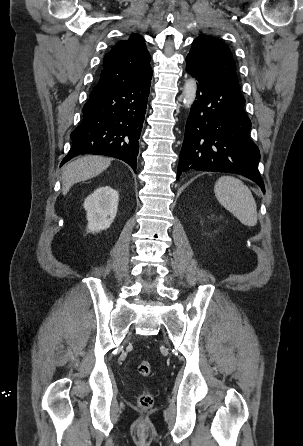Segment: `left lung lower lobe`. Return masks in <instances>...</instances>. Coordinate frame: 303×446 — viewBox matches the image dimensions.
<instances>
[{"label":"left lung lower lobe","instance_id":"0a47b994","mask_svg":"<svg viewBox=\"0 0 303 446\" xmlns=\"http://www.w3.org/2000/svg\"><path fill=\"white\" fill-rule=\"evenodd\" d=\"M186 71L198 80L185 129L178 177L190 169L243 175L265 192L258 170L260 153L251 141V122L240 90L186 60Z\"/></svg>","mask_w":303,"mask_h":446}]
</instances>
